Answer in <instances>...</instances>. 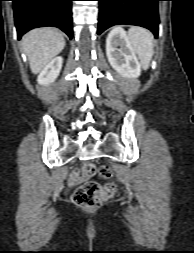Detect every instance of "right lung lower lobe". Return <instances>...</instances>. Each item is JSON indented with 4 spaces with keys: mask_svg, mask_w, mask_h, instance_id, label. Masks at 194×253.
Wrapping results in <instances>:
<instances>
[{
    "mask_svg": "<svg viewBox=\"0 0 194 253\" xmlns=\"http://www.w3.org/2000/svg\"><path fill=\"white\" fill-rule=\"evenodd\" d=\"M18 39L27 31L54 26L72 39V0H12Z\"/></svg>",
    "mask_w": 194,
    "mask_h": 253,
    "instance_id": "1",
    "label": "right lung lower lobe"
}]
</instances>
